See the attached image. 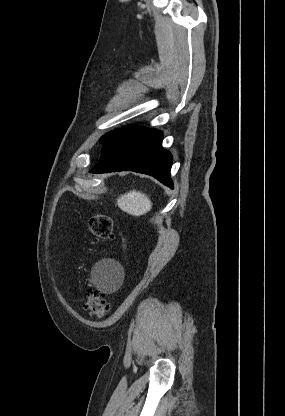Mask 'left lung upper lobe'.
Instances as JSON below:
<instances>
[{
  "label": "left lung upper lobe",
  "mask_w": 285,
  "mask_h": 416,
  "mask_svg": "<svg viewBox=\"0 0 285 416\" xmlns=\"http://www.w3.org/2000/svg\"><path fill=\"white\" fill-rule=\"evenodd\" d=\"M117 130L111 131L106 133L104 136L100 138V143L105 142L110 136H112Z\"/></svg>",
  "instance_id": "5c2ea615"
}]
</instances>
